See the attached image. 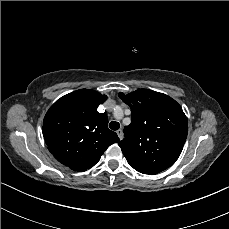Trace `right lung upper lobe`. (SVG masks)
Here are the masks:
<instances>
[{
	"instance_id": "obj_1",
	"label": "right lung upper lobe",
	"mask_w": 229,
	"mask_h": 229,
	"mask_svg": "<svg viewBox=\"0 0 229 229\" xmlns=\"http://www.w3.org/2000/svg\"><path fill=\"white\" fill-rule=\"evenodd\" d=\"M106 99L97 91L80 89L61 97L47 111L42 132L49 151L60 163L85 171L119 141L107 127V115L97 111Z\"/></svg>"
}]
</instances>
